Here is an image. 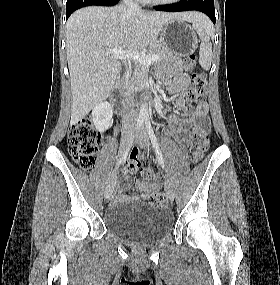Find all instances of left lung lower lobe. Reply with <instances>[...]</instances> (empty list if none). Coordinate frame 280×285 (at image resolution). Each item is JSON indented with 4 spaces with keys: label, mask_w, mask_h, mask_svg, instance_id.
<instances>
[{
    "label": "left lung lower lobe",
    "mask_w": 280,
    "mask_h": 285,
    "mask_svg": "<svg viewBox=\"0 0 280 285\" xmlns=\"http://www.w3.org/2000/svg\"><path fill=\"white\" fill-rule=\"evenodd\" d=\"M158 11L180 12L196 10L205 13L215 24L214 0H180L178 3L155 7Z\"/></svg>",
    "instance_id": "obj_1"
}]
</instances>
